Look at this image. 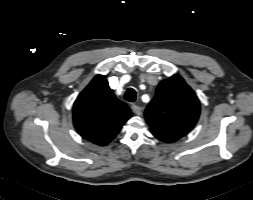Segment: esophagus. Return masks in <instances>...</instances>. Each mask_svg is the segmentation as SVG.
<instances>
[{"label": "esophagus", "instance_id": "34e87169", "mask_svg": "<svg viewBox=\"0 0 253 200\" xmlns=\"http://www.w3.org/2000/svg\"><path fill=\"white\" fill-rule=\"evenodd\" d=\"M132 111L136 114V115H141L142 114V108L137 106V105H132Z\"/></svg>", "mask_w": 253, "mask_h": 200}]
</instances>
